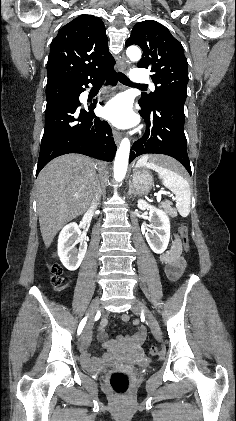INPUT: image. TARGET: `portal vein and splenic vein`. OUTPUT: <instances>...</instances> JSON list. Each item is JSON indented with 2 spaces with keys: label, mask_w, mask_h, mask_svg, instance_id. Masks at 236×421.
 Returning <instances> with one entry per match:
<instances>
[{
  "label": "portal vein and splenic vein",
  "mask_w": 236,
  "mask_h": 421,
  "mask_svg": "<svg viewBox=\"0 0 236 421\" xmlns=\"http://www.w3.org/2000/svg\"><path fill=\"white\" fill-rule=\"evenodd\" d=\"M161 194H163V192H161V190H159V192H158V194H157V200H158V202H160V200H161ZM165 197L166 198H169V197H171V198H174L175 197V194L174 193H165ZM73 198H79V194H73Z\"/></svg>",
  "instance_id": "1"
}]
</instances>
